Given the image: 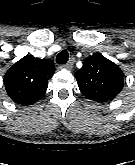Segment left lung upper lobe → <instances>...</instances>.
Here are the masks:
<instances>
[{
  "label": "left lung upper lobe",
  "mask_w": 135,
  "mask_h": 165,
  "mask_svg": "<svg viewBox=\"0 0 135 165\" xmlns=\"http://www.w3.org/2000/svg\"><path fill=\"white\" fill-rule=\"evenodd\" d=\"M80 91L89 99L107 102L114 99L123 88L124 73L112 61L95 54L83 61L75 73Z\"/></svg>",
  "instance_id": "5c2ea615"
}]
</instances>
